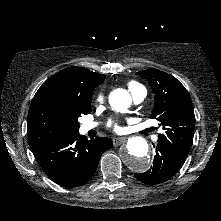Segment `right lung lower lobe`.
<instances>
[{
    "label": "right lung lower lobe",
    "mask_w": 221,
    "mask_h": 221,
    "mask_svg": "<svg viewBox=\"0 0 221 221\" xmlns=\"http://www.w3.org/2000/svg\"><path fill=\"white\" fill-rule=\"evenodd\" d=\"M30 146L51 180L61 186L78 187L93 176L102 153L112 148L113 142L106 137L88 140L78 131Z\"/></svg>",
    "instance_id": "right-lung-lower-lobe-1"
}]
</instances>
